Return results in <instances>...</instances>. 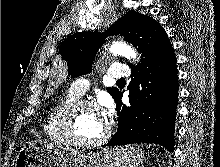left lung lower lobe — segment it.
<instances>
[{
    "mask_svg": "<svg viewBox=\"0 0 220 167\" xmlns=\"http://www.w3.org/2000/svg\"><path fill=\"white\" fill-rule=\"evenodd\" d=\"M129 105L115 98L118 129L107 146L157 143L173 151L178 103V75L174 50L153 60L131 66Z\"/></svg>",
    "mask_w": 220,
    "mask_h": 167,
    "instance_id": "left-lung-lower-lobe-1",
    "label": "left lung lower lobe"
}]
</instances>
